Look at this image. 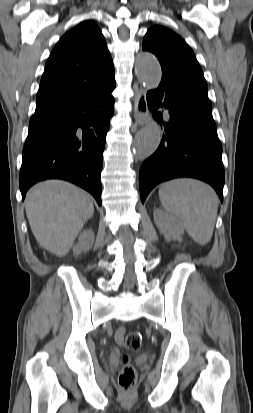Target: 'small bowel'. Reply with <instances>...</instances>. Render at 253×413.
Listing matches in <instances>:
<instances>
[{
	"mask_svg": "<svg viewBox=\"0 0 253 413\" xmlns=\"http://www.w3.org/2000/svg\"><path fill=\"white\" fill-rule=\"evenodd\" d=\"M123 336H124V329H119L117 330L116 334H115V339L118 343H122L123 341Z\"/></svg>",
	"mask_w": 253,
	"mask_h": 413,
	"instance_id": "1",
	"label": "small bowel"
}]
</instances>
